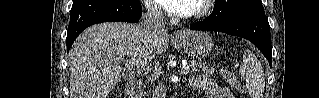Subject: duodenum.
Here are the masks:
<instances>
[{"mask_svg":"<svg viewBox=\"0 0 319 98\" xmlns=\"http://www.w3.org/2000/svg\"><path fill=\"white\" fill-rule=\"evenodd\" d=\"M127 98H143L141 95V84L138 80H131L126 85Z\"/></svg>","mask_w":319,"mask_h":98,"instance_id":"duodenum-1","label":"duodenum"}]
</instances>
